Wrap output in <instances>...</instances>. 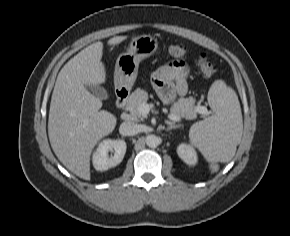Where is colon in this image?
Masks as SVG:
<instances>
[{
  "label": "colon",
  "instance_id": "obj_1",
  "mask_svg": "<svg viewBox=\"0 0 290 236\" xmlns=\"http://www.w3.org/2000/svg\"><path fill=\"white\" fill-rule=\"evenodd\" d=\"M168 52L173 57H184L188 54V49L182 44H174L169 46ZM195 62L206 77L213 76L217 71L216 66L208 60L207 55L204 53L197 54Z\"/></svg>",
  "mask_w": 290,
  "mask_h": 236
}]
</instances>
